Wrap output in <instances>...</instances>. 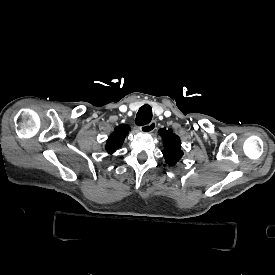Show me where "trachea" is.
Returning <instances> with one entry per match:
<instances>
[{
    "label": "trachea",
    "mask_w": 275,
    "mask_h": 275,
    "mask_svg": "<svg viewBox=\"0 0 275 275\" xmlns=\"http://www.w3.org/2000/svg\"><path fill=\"white\" fill-rule=\"evenodd\" d=\"M152 119V109L149 105L142 106L135 119V123L137 126H145L150 123Z\"/></svg>",
    "instance_id": "1"
}]
</instances>
